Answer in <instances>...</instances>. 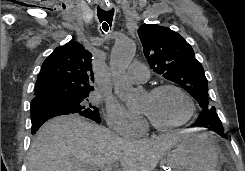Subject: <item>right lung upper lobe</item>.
<instances>
[{"label":"right lung upper lobe","mask_w":245,"mask_h":171,"mask_svg":"<svg viewBox=\"0 0 245 171\" xmlns=\"http://www.w3.org/2000/svg\"><path fill=\"white\" fill-rule=\"evenodd\" d=\"M92 54L71 40L57 47L43 62L32 101L47 100L54 95H82L94 90Z\"/></svg>","instance_id":"1"}]
</instances>
